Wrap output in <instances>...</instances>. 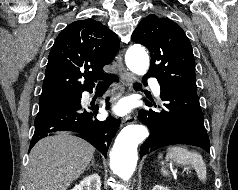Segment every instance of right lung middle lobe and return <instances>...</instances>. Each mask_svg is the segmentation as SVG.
<instances>
[{"mask_svg":"<svg viewBox=\"0 0 238 190\" xmlns=\"http://www.w3.org/2000/svg\"><path fill=\"white\" fill-rule=\"evenodd\" d=\"M80 96L67 97L57 100L39 102V113L55 110L58 108L79 104Z\"/></svg>","mask_w":238,"mask_h":190,"instance_id":"1","label":"right lung middle lobe"}]
</instances>
